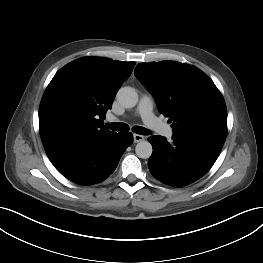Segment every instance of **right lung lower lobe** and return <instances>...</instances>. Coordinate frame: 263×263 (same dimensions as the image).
<instances>
[{
    "mask_svg": "<svg viewBox=\"0 0 263 263\" xmlns=\"http://www.w3.org/2000/svg\"><path fill=\"white\" fill-rule=\"evenodd\" d=\"M133 142L129 132L103 138H88L48 156L55 168L69 180L91 185L104 181L116 169L119 160Z\"/></svg>",
    "mask_w": 263,
    "mask_h": 263,
    "instance_id": "1",
    "label": "right lung lower lobe"
}]
</instances>
